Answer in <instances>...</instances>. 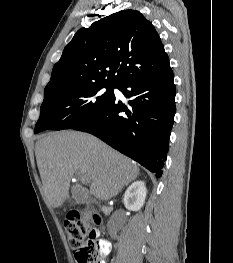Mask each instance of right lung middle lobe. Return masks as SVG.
Segmentation results:
<instances>
[{
    "label": "right lung middle lobe",
    "instance_id": "dd1d6c3e",
    "mask_svg": "<svg viewBox=\"0 0 233 263\" xmlns=\"http://www.w3.org/2000/svg\"><path fill=\"white\" fill-rule=\"evenodd\" d=\"M114 87L103 84L89 85L44 98L35 133L46 129L73 128L89 119L114 99ZM103 88L107 91L103 92Z\"/></svg>",
    "mask_w": 233,
    "mask_h": 263
}]
</instances>
